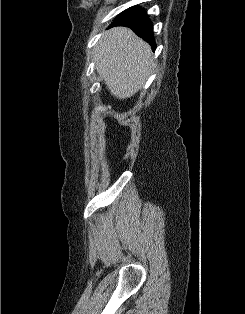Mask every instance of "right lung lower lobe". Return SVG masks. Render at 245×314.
I'll return each instance as SVG.
<instances>
[{
	"label": "right lung lower lobe",
	"instance_id": "1",
	"mask_svg": "<svg viewBox=\"0 0 245 314\" xmlns=\"http://www.w3.org/2000/svg\"><path fill=\"white\" fill-rule=\"evenodd\" d=\"M111 26H126L131 28L138 36L147 41L155 50L156 44L153 35V26L144 9L140 7H131L123 11L114 20Z\"/></svg>",
	"mask_w": 245,
	"mask_h": 314
}]
</instances>
